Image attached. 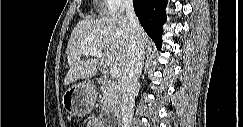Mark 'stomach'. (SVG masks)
<instances>
[{
    "instance_id": "1",
    "label": "stomach",
    "mask_w": 243,
    "mask_h": 127,
    "mask_svg": "<svg viewBox=\"0 0 243 127\" xmlns=\"http://www.w3.org/2000/svg\"><path fill=\"white\" fill-rule=\"evenodd\" d=\"M96 96V86L92 82H79L63 93L62 105L67 114L83 117L92 110Z\"/></svg>"
}]
</instances>
